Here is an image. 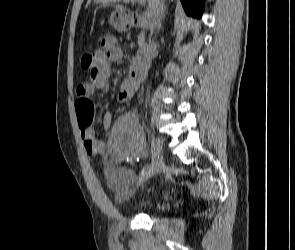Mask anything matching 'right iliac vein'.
Instances as JSON below:
<instances>
[{"mask_svg": "<svg viewBox=\"0 0 295 250\" xmlns=\"http://www.w3.org/2000/svg\"><path fill=\"white\" fill-rule=\"evenodd\" d=\"M152 157L155 160V163L152 167V169L150 170V172L143 174L140 176L139 180H138V184L142 185L144 184L149 178H151L152 176H154L157 173H160L161 171L164 170V160H163V156H162V144L161 141L158 137H156L155 135H152Z\"/></svg>", "mask_w": 295, "mask_h": 250, "instance_id": "right-iliac-vein-1", "label": "right iliac vein"}]
</instances>
